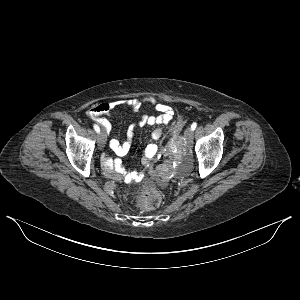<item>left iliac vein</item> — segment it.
I'll use <instances>...</instances> for the list:
<instances>
[{"mask_svg":"<svg viewBox=\"0 0 300 300\" xmlns=\"http://www.w3.org/2000/svg\"><path fill=\"white\" fill-rule=\"evenodd\" d=\"M184 137L188 141V143H192L193 140V130L191 127H187L185 132H184Z\"/></svg>","mask_w":300,"mask_h":300,"instance_id":"1","label":"left iliac vein"}]
</instances>
